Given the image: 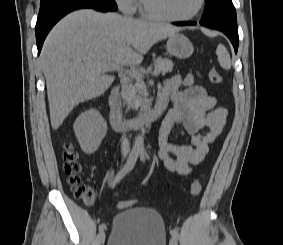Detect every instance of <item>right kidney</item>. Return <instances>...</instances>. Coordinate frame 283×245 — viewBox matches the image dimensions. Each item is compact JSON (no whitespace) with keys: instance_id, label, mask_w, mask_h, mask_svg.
<instances>
[{"instance_id":"ca27d5eb","label":"right kidney","mask_w":283,"mask_h":245,"mask_svg":"<svg viewBox=\"0 0 283 245\" xmlns=\"http://www.w3.org/2000/svg\"><path fill=\"white\" fill-rule=\"evenodd\" d=\"M74 132L81 149L94 153L107 133V124L100 112L90 109L82 113L74 123Z\"/></svg>"}]
</instances>
